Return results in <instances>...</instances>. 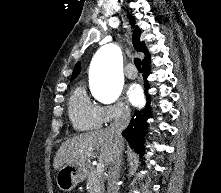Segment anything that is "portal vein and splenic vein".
I'll list each match as a JSON object with an SVG mask.
<instances>
[{"instance_id":"portal-vein-and-splenic-vein-1","label":"portal vein and splenic vein","mask_w":221,"mask_h":193,"mask_svg":"<svg viewBox=\"0 0 221 193\" xmlns=\"http://www.w3.org/2000/svg\"><path fill=\"white\" fill-rule=\"evenodd\" d=\"M90 151H92V149H90ZM104 163H99L97 164V171L100 173V172H103L104 171Z\"/></svg>"}]
</instances>
